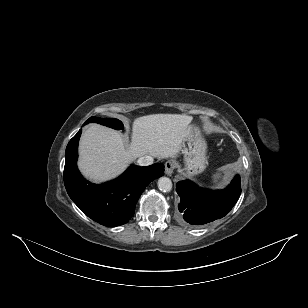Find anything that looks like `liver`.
<instances>
[{
    "label": "liver",
    "instance_id": "liver-1",
    "mask_svg": "<svg viewBox=\"0 0 308 308\" xmlns=\"http://www.w3.org/2000/svg\"><path fill=\"white\" fill-rule=\"evenodd\" d=\"M191 120L183 114L138 117L132 123L129 144L117 131L93 124L82 134L78 167L86 178L99 183L119 176L138 157H176L182 151Z\"/></svg>",
    "mask_w": 308,
    "mask_h": 308
}]
</instances>
